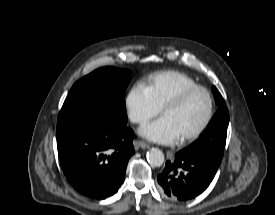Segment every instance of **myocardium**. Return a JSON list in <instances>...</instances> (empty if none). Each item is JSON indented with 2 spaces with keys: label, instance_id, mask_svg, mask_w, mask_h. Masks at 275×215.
I'll return each instance as SVG.
<instances>
[{
  "label": "myocardium",
  "instance_id": "1",
  "mask_svg": "<svg viewBox=\"0 0 275 215\" xmlns=\"http://www.w3.org/2000/svg\"><path fill=\"white\" fill-rule=\"evenodd\" d=\"M196 91H202L206 94L208 101H209V107H208V112L202 123L191 133L188 135L179 138V142L184 144L187 142H190L197 137H199L205 129L209 126L213 115H214V109H215V102L212 93L210 92L209 89H207L204 86L201 85H194L191 87H187L182 89L180 92H178L175 96L170 98L161 108V113L163 114L167 109L177 107L179 106L189 95Z\"/></svg>",
  "mask_w": 275,
  "mask_h": 215
}]
</instances>
